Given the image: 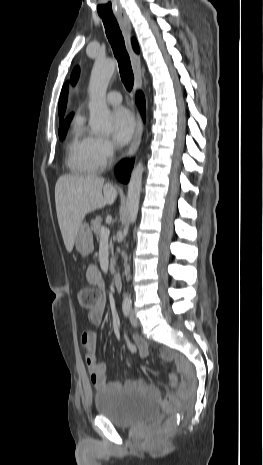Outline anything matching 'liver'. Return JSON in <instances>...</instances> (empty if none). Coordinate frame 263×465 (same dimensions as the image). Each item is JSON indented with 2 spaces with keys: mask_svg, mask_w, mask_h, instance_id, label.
<instances>
[{
  "mask_svg": "<svg viewBox=\"0 0 263 465\" xmlns=\"http://www.w3.org/2000/svg\"><path fill=\"white\" fill-rule=\"evenodd\" d=\"M103 192V193H102ZM117 191L96 175H62L55 185V204L59 227L67 252L73 250L75 237L85 216L112 205Z\"/></svg>",
  "mask_w": 263,
  "mask_h": 465,
  "instance_id": "liver-1",
  "label": "liver"
}]
</instances>
